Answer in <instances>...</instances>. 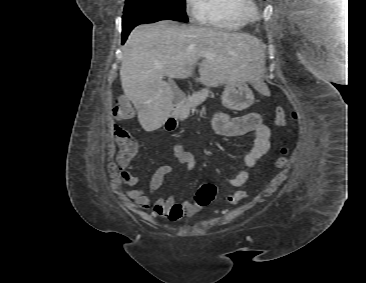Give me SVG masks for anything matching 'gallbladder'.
<instances>
[{
	"instance_id": "obj_1",
	"label": "gallbladder",
	"mask_w": 366,
	"mask_h": 283,
	"mask_svg": "<svg viewBox=\"0 0 366 283\" xmlns=\"http://www.w3.org/2000/svg\"><path fill=\"white\" fill-rule=\"evenodd\" d=\"M170 84H171V87H172L174 98L176 100H178L179 97H180V90L178 88H176L175 85L172 82Z\"/></svg>"
}]
</instances>
